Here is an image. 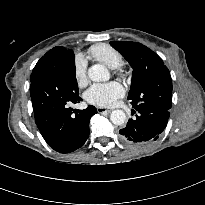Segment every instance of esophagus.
<instances>
[{"label":"esophagus","instance_id":"esophagus-1","mask_svg":"<svg viewBox=\"0 0 205 205\" xmlns=\"http://www.w3.org/2000/svg\"><path fill=\"white\" fill-rule=\"evenodd\" d=\"M97 111L99 113H110L111 112V110L103 108V107H97Z\"/></svg>","mask_w":205,"mask_h":205}]
</instances>
